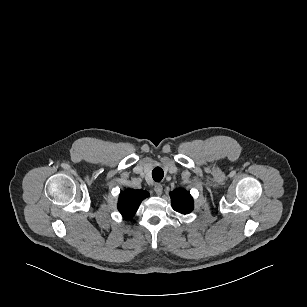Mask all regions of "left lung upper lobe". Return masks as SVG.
<instances>
[{
	"instance_id": "obj_1",
	"label": "left lung upper lobe",
	"mask_w": 307,
	"mask_h": 307,
	"mask_svg": "<svg viewBox=\"0 0 307 307\" xmlns=\"http://www.w3.org/2000/svg\"><path fill=\"white\" fill-rule=\"evenodd\" d=\"M170 197L175 211L181 214H188L193 210V198L185 189H176L170 192Z\"/></svg>"
}]
</instances>
